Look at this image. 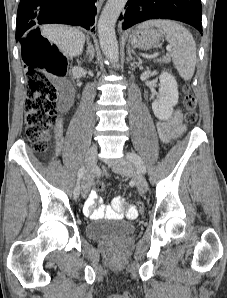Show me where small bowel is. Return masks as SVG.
I'll return each instance as SVG.
<instances>
[{"label": "small bowel", "mask_w": 227, "mask_h": 298, "mask_svg": "<svg viewBox=\"0 0 227 298\" xmlns=\"http://www.w3.org/2000/svg\"><path fill=\"white\" fill-rule=\"evenodd\" d=\"M66 108L65 105L62 107ZM157 130L161 140L164 143H169L172 140L178 138L185 131V125L182 122V114L180 110H175L173 115L163 121L157 122ZM56 138L60 142L62 138V124L61 121H58L56 124ZM84 190V185H83ZM98 201V194L95 190L89 193V196L85 202L83 211L87 217L92 219H101L103 217H116L122 218L125 215L123 210V201L121 198L117 197L113 200L111 205H105L103 203H99L96 207ZM131 213H138V209L134 204H131L128 208L126 214L127 216H131ZM137 215V214H136Z\"/></svg>", "instance_id": "small-bowel-1"}]
</instances>
